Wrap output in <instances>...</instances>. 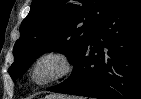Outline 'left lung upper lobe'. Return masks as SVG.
<instances>
[{"instance_id":"left-lung-upper-lobe-1","label":"left lung upper lobe","mask_w":141,"mask_h":99,"mask_svg":"<svg viewBox=\"0 0 141 99\" xmlns=\"http://www.w3.org/2000/svg\"><path fill=\"white\" fill-rule=\"evenodd\" d=\"M116 2L33 0L13 48L15 61L8 70L13 81L48 51L64 53L75 67L94 30Z\"/></svg>"}]
</instances>
